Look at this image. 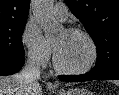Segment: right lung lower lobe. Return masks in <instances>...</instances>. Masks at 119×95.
<instances>
[{
    "label": "right lung lower lobe",
    "instance_id": "1",
    "mask_svg": "<svg viewBox=\"0 0 119 95\" xmlns=\"http://www.w3.org/2000/svg\"><path fill=\"white\" fill-rule=\"evenodd\" d=\"M22 57H0V76L12 75L18 72L24 65Z\"/></svg>",
    "mask_w": 119,
    "mask_h": 95
}]
</instances>
